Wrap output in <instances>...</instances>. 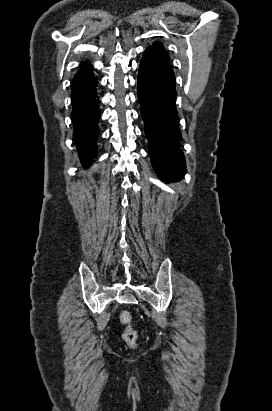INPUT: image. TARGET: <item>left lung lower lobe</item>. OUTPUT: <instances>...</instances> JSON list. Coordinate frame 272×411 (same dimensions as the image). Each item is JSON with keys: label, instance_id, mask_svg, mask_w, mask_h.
Returning <instances> with one entry per match:
<instances>
[{"label": "left lung lower lobe", "instance_id": "obj_1", "mask_svg": "<svg viewBox=\"0 0 272 411\" xmlns=\"http://www.w3.org/2000/svg\"><path fill=\"white\" fill-rule=\"evenodd\" d=\"M175 98V76L170 61L147 48L139 66L138 100L151 163L164 181L179 180L186 172Z\"/></svg>", "mask_w": 272, "mask_h": 411}]
</instances>
